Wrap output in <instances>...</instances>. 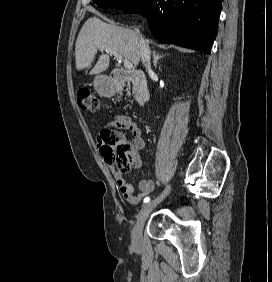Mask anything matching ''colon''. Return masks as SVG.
Listing matches in <instances>:
<instances>
[{"label": "colon", "instance_id": "5ec220e1", "mask_svg": "<svg viewBox=\"0 0 272 282\" xmlns=\"http://www.w3.org/2000/svg\"><path fill=\"white\" fill-rule=\"evenodd\" d=\"M78 106L82 110L96 112L100 109V102L89 88H81L77 92ZM101 144L100 153L106 163L114 166L122 174L131 168L132 147L124 136L109 128H103L98 134Z\"/></svg>", "mask_w": 272, "mask_h": 282}]
</instances>
